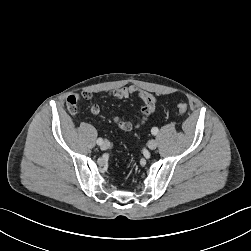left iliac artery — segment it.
I'll return each instance as SVG.
<instances>
[{
  "label": "left iliac artery",
  "instance_id": "44dca946",
  "mask_svg": "<svg viewBox=\"0 0 251 251\" xmlns=\"http://www.w3.org/2000/svg\"><path fill=\"white\" fill-rule=\"evenodd\" d=\"M151 133H152L153 135H157V134H158V128H157V127H153V128L151 129Z\"/></svg>",
  "mask_w": 251,
  "mask_h": 251
}]
</instances>
